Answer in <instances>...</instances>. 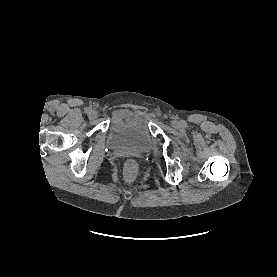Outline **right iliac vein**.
Returning a JSON list of instances; mask_svg holds the SVG:
<instances>
[{
    "mask_svg": "<svg viewBox=\"0 0 277 277\" xmlns=\"http://www.w3.org/2000/svg\"><path fill=\"white\" fill-rule=\"evenodd\" d=\"M96 117H97V111L92 110V111L89 113V118H90V119H95Z\"/></svg>",
    "mask_w": 277,
    "mask_h": 277,
    "instance_id": "1",
    "label": "right iliac vein"
}]
</instances>
